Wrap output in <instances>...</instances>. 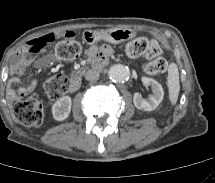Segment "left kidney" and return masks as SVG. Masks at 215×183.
Returning <instances> with one entry per match:
<instances>
[{"mask_svg": "<svg viewBox=\"0 0 215 183\" xmlns=\"http://www.w3.org/2000/svg\"><path fill=\"white\" fill-rule=\"evenodd\" d=\"M142 82L144 85H149L151 87L152 95H150L147 99H143L139 93H135L133 103L138 109L152 111L156 109L163 100V88L156 80L149 77H142Z\"/></svg>", "mask_w": 215, "mask_h": 183, "instance_id": "5707ae66", "label": "left kidney"}]
</instances>
